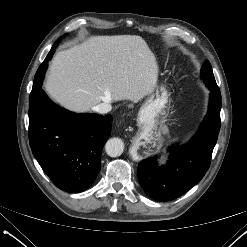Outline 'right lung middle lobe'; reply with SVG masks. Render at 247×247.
Here are the masks:
<instances>
[{
  "label": "right lung middle lobe",
  "mask_w": 247,
  "mask_h": 247,
  "mask_svg": "<svg viewBox=\"0 0 247 247\" xmlns=\"http://www.w3.org/2000/svg\"><path fill=\"white\" fill-rule=\"evenodd\" d=\"M66 35H63L62 37H60L55 44L53 45V47L51 48L50 52L48 53L47 57L45 58V60L43 61V63L40 65V67L38 68V71L36 72L34 81H33V88L30 94V98L29 101L33 100L39 93L41 86H42V82L44 79V75H45V71L47 69V63L48 61L52 58L55 48L57 47V45L59 44V42L61 41V39L63 37H65Z\"/></svg>",
  "instance_id": "right-lung-middle-lobe-1"
}]
</instances>
